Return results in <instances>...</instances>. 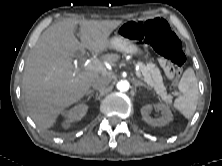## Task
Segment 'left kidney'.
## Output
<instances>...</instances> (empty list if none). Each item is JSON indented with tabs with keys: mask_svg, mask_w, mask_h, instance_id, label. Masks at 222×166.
Returning <instances> with one entry per match:
<instances>
[{
	"mask_svg": "<svg viewBox=\"0 0 222 166\" xmlns=\"http://www.w3.org/2000/svg\"><path fill=\"white\" fill-rule=\"evenodd\" d=\"M154 107L161 111L162 117L157 119L151 118L149 112L152 109V105L147 104L142 106L141 108V114L145 122L152 126H164L173 120L172 112L168 106H166L165 104L158 103L154 105Z\"/></svg>",
	"mask_w": 222,
	"mask_h": 166,
	"instance_id": "5707ae66",
	"label": "left kidney"
}]
</instances>
